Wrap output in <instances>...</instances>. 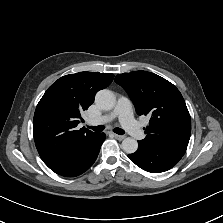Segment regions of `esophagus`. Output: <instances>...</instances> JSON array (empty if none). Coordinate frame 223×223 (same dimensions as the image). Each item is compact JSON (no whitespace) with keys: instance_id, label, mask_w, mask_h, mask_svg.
I'll return each instance as SVG.
<instances>
[{"instance_id":"1","label":"esophagus","mask_w":223,"mask_h":223,"mask_svg":"<svg viewBox=\"0 0 223 223\" xmlns=\"http://www.w3.org/2000/svg\"><path fill=\"white\" fill-rule=\"evenodd\" d=\"M114 137L117 139V140H123L125 137L122 136V135H117V134H114Z\"/></svg>"}]
</instances>
